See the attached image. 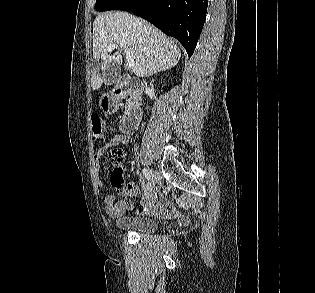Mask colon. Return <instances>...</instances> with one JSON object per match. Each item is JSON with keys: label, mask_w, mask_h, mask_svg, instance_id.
<instances>
[{"label": "colon", "mask_w": 315, "mask_h": 293, "mask_svg": "<svg viewBox=\"0 0 315 293\" xmlns=\"http://www.w3.org/2000/svg\"><path fill=\"white\" fill-rule=\"evenodd\" d=\"M92 132L93 136L97 140H101L105 136V130L100 120V117L97 114L92 116ZM110 161L116 166L111 174V182L112 185L116 188V190L124 196L125 190H134L133 188H129L124 184L123 181V170L119 167L120 163L123 160V153L121 150H113L109 154Z\"/></svg>", "instance_id": "1"}]
</instances>
